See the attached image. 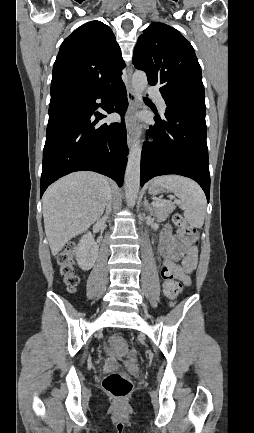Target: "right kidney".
Masks as SVG:
<instances>
[{
    "label": "right kidney",
    "mask_w": 254,
    "mask_h": 433,
    "mask_svg": "<svg viewBox=\"0 0 254 433\" xmlns=\"http://www.w3.org/2000/svg\"><path fill=\"white\" fill-rule=\"evenodd\" d=\"M98 251L99 246L95 242L92 234L88 232L83 235L75 250L79 267L84 271L90 270L94 266Z\"/></svg>",
    "instance_id": "right-kidney-1"
}]
</instances>
